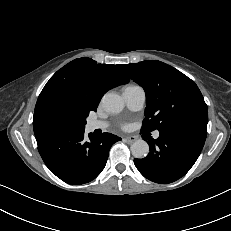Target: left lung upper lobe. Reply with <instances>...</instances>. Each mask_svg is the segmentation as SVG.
Wrapping results in <instances>:
<instances>
[{
  "instance_id": "obj_1",
  "label": "left lung upper lobe",
  "mask_w": 231,
  "mask_h": 231,
  "mask_svg": "<svg viewBox=\"0 0 231 231\" xmlns=\"http://www.w3.org/2000/svg\"><path fill=\"white\" fill-rule=\"evenodd\" d=\"M120 70L145 90L142 131H161L184 124L207 127L204 98L195 82L179 70L157 60L120 65Z\"/></svg>"
}]
</instances>
